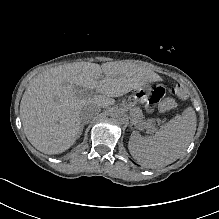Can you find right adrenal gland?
<instances>
[{
	"mask_svg": "<svg viewBox=\"0 0 219 219\" xmlns=\"http://www.w3.org/2000/svg\"><path fill=\"white\" fill-rule=\"evenodd\" d=\"M84 125L85 123H82L81 126H80V130H79V133H78V136L81 135L82 131H83V128H84Z\"/></svg>",
	"mask_w": 219,
	"mask_h": 219,
	"instance_id": "obj_1",
	"label": "right adrenal gland"
}]
</instances>
